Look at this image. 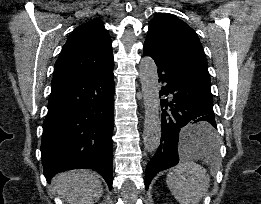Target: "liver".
<instances>
[{
	"label": "liver",
	"instance_id": "6515ba94",
	"mask_svg": "<svg viewBox=\"0 0 261 204\" xmlns=\"http://www.w3.org/2000/svg\"><path fill=\"white\" fill-rule=\"evenodd\" d=\"M53 184L69 204H94L103 194L100 176L90 170L60 173L54 177Z\"/></svg>",
	"mask_w": 261,
	"mask_h": 204
}]
</instances>
